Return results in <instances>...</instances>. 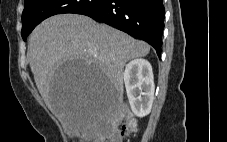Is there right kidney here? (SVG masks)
<instances>
[{"mask_svg":"<svg viewBox=\"0 0 227 142\" xmlns=\"http://www.w3.org/2000/svg\"><path fill=\"white\" fill-rule=\"evenodd\" d=\"M124 82L133 113L137 117H145L150 113L154 100L151 64L145 59L132 60L125 67Z\"/></svg>","mask_w":227,"mask_h":142,"instance_id":"1","label":"right kidney"}]
</instances>
